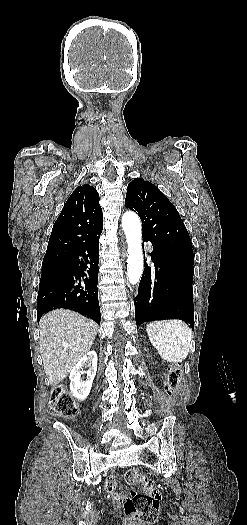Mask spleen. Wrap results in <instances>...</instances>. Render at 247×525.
<instances>
[{"mask_svg": "<svg viewBox=\"0 0 247 525\" xmlns=\"http://www.w3.org/2000/svg\"><path fill=\"white\" fill-rule=\"evenodd\" d=\"M146 331L150 343L167 363H182L188 357L192 331L183 321H153Z\"/></svg>", "mask_w": 247, "mask_h": 525, "instance_id": "1", "label": "spleen"}]
</instances>
